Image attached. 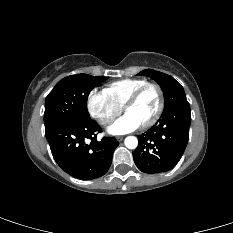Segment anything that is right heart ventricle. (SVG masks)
Segmentation results:
<instances>
[{
    "label": "right heart ventricle",
    "mask_w": 233,
    "mask_h": 233,
    "mask_svg": "<svg viewBox=\"0 0 233 233\" xmlns=\"http://www.w3.org/2000/svg\"><path fill=\"white\" fill-rule=\"evenodd\" d=\"M147 83V80L140 78H127L113 81L107 84L103 93L114 104L122 107L127 98L140 86Z\"/></svg>",
    "instance_id": "e07e8e85"
}]
</instances>
